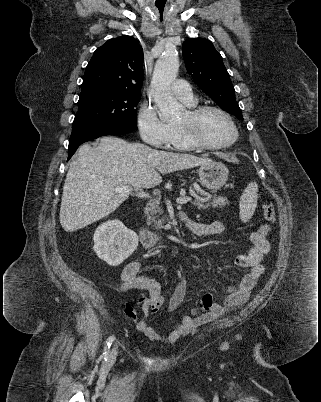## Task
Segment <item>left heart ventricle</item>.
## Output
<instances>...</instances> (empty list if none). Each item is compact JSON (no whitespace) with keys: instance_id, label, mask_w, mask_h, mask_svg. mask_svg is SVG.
I'll use <instances>...</instances> for the list:
<instances>
[{"instance_id":"obj_1","label":"left heart ventricle","mask_w":321,"mask_h":402,"mask_svg":"<svg viewBox=\"0 0 321 402\" xmlns=\"http://www.w3.org/2000/svg\"><path fill=\"white\" fill-rule=\"evenodd\" d=\"M188 120L185 112L178 124ZM198 134L202 139L211 144H222L232 139L233 129L227 119L215 111L204 113L197 122Z\"/></svg>"}]
</instances>
